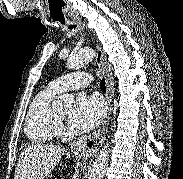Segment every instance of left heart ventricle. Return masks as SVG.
Segmentation results:
<instances>
[{"mask_svg": "<svg viewBox=\"0 0 183 179\" xmlns=\"http://www.w3.org/2000/svg\"><path fill=\"white\" fill-rule=\"evenodd\" d=\"M59 116H60L62 119H67V118H69V116H70V111L61 112V113H59Z\"/></svg>", "mask_w": 183, "mask_h": 179, "instance_id": "b2bd125f", "label": "left heart ventricle"}]
</instances>
